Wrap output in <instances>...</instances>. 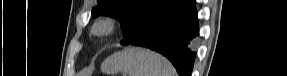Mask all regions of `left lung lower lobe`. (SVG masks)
Here are the masks:
<instances>
[{
    "label": "left lung lower lobe",
    "instance_id": "left-lung-lower-lobe-1",
    "mask_svg": "<svg viewBox=\"0 0 287 76\" xmlns=\"http://www.w3.org/2000/svg\"><path fill=\"white\" fill-rule=\"evenodd\" d=\"M198 34L194 1L186 0L179 9L163 16L129 44L144 46L163 54L180 76H191L195 58L192 43Z\"/></svg>",
    "mask_w": 287,
    "mask_h": 76
}]
</instances>
